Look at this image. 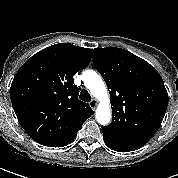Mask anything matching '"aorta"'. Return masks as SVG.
Here are the masks:
<instances>
[{"instance_id": "obj_1", "label": "aorta", "mask_w": 178, "mask_h": 178, "mask_svg": "<svg viewBox=\"0 0 178 178\" xmlns=\"http://www.w3.org/2000/svg\"><path fill=\"white\" fill-rule=\"evenodd\" d=\"M85 86L91 94L100 101L96 110V119L101 125H107L111 120V108L108 91L98 73L86 70L82 74Z\"/></svg>"}]
</instances>
